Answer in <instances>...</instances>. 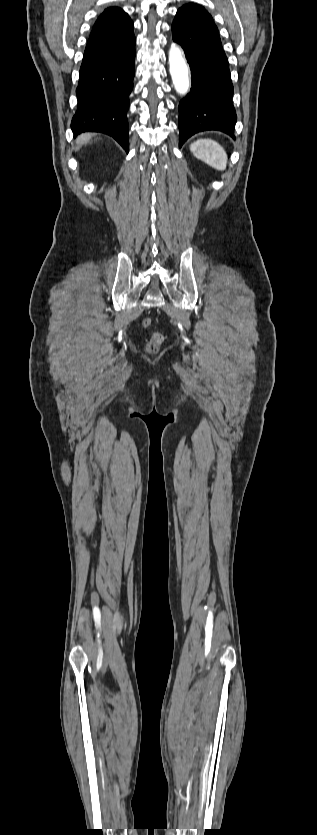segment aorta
Listing matches in <instances>:
<instances>
[{
  "label": "aorta",
  "instance_id": "1",
  "mask_svg": "<svg viewBox=\"0 0 317 835\" xmlns=\"http://www.w3.org/2000/svg\"><path fill=\"white\" fill-rule=\"evenodd\" d=\"M169 70L175 90L180 95H186L189 91V71L183 53L180 48L172 44L169 50Z\"/></svg>",
  "mask_w": 317,
  "mask_h": 835
}]
</instances>
